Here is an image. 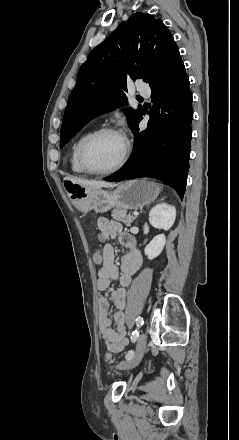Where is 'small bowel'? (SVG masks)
I'll return each instance as SVG.
<instances>
[{"label":"small bowel","instance_id":"c3829d8e","mask_svg":"<svg viewBox=\"0 0 239 440\" xmlns=\"http://www.w3.org/2000/svg\"><path fill=\"white\" fill-rule=\"evenodd\" d=\"M97 225L99 239L105 243L102 255L103 266L98 271L97 288L103 292L108 289L111 280H117L120 283V287L113 290L110 294L116 308L112 319L108 315L110 308L109 300L106 297L98 299L99 332L108 350L113 353H119L124 350L128 343L123 311L126 304L125 288L131 285L133 275L142 264V256L135 239L130 234L122 232L120 223L101 217L98 219ZM112 241H118L119 244L127 249V252L120 258V272L114 264L115 247ZM112 324L115 325V328L112 327Z\"/></svg>","mask_w":239,"mask_h":440}]
</instances>
